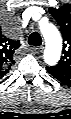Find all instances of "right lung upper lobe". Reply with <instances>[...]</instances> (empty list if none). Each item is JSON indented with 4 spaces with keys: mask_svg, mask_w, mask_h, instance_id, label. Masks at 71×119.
I'll return each instance as SVG.
<instances>
[{
    "mask_svg": "<svg viewBox=\"0 0 71 119\" xmlns=\"http://www.w3.org/2000/svg\"><path fill=\"white\" fill-rule=\"evenodd\" d=\"M0 53H1V60L3 68H5L6 71L9 70V68L14 64L13 60V54L14 52L20 47L19 41H14L11 39H8L4 36L0 37ZM5 72V71H2Z\"/></svg>",
    "mask_w": 71,
    "mask_h": 119,
    "instance_id": "1",
    "label": "right lung upper lobe"
}]
</instances>
